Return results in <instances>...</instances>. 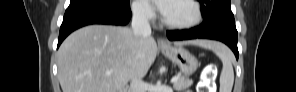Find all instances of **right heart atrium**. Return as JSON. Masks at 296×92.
Segmentation results:
<instances>
[{
  "instance_id": "d8ad5b80",
  "label": "right heart atrium",
  "mask_w": 296,
  "mask_h": 92,
  "mask_svg": "<svg viewBox=\"0 0 296 92\" xmlns=\"http://www.w3.org/2000/svg\"><path fill=\"white\" fill-rule=\"evenodd\" d=\"M132 9L135 16L144 21H150L155 17L152 6L146 1L132 2Z\"/></svg>"
}]
</instances>
